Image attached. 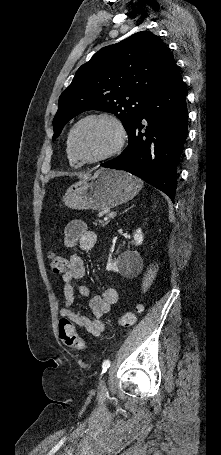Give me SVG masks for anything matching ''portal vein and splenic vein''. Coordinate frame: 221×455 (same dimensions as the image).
Wrapping results in <instances>:
<instances>
[{"label": "portal vein and splenic vein", "mask_w": 221, "mask_h": 455, "mask_svg": "<svg viewBox=\"0 0 221 455\" xmlns=\"http://www.w3.org/2000/svg\"><path fill=\"white\" fill-rule=\"evenodd\" d=\"M110 217H104V221H108Z\"/></svg>", "instance_id": "portal-vein-and-splenic-vein-1"}]
</instances>
